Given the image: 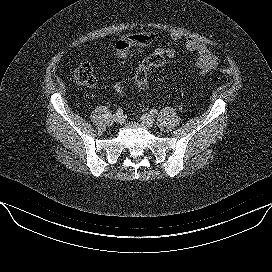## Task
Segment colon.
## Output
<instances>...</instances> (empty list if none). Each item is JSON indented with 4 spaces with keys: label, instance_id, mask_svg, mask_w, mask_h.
I'll list each match as a JSON object with an SVG mask.
<instances>
[{
    "label": "colon",
    "instance_id": "5ec220e1",
    "mask_svg": "<svg viewBox=\"0 0 272 272\" xmlns=\"http://www.w3.org/2000/svg\"><path fill=\"white\" fill-rule=\"evenodd\" d=\"M152 38L153 35L151 34H134L133 40L135 41L136 47L138 48L147 46L151 42ZM116 55L122 56L120 53H116ZM165 62H166L165 56L156 53H153L146 59H144L140 63L136 71L135 81L137 86L142 90H147L149 88L148 82L149 71L153 67L163 66ZM222 72L225 74H229L230 70L223 69ZM73 78L77 84L85 87H91L96 82L93 68L91 64L88 62H82L75 68ZM113 89L117 94H121L124 90V86L122 83L117 82L114 84Z\"/></svg>",
    "mask_w": 272,
    "mask_h": 272
}]
</instances>
